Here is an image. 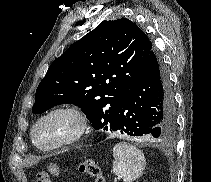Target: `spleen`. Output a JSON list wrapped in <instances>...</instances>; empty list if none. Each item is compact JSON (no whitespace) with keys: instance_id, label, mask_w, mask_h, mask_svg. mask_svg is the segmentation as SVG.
Segmentation results:
<instances>
[{"instance_id":"1","label":"spleen","mask_w":211,"mask_h":182,"mask_svg":"<svg viewBox=\"0 0 211 182\" xmlns=\"http://www.w3.org/2000/svg\"><path fill=\"white\" fill-rule=\"evenodd\" d=\"M113 173L124 182L138 179L145 169L146 159L143 152L126 142H119L113 148Z\"/></svg>"}]
</instances>
